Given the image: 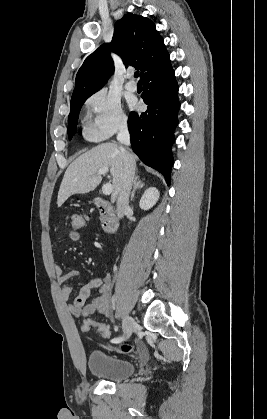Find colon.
Masks as SVG:
<instances>
[{
    "mask_svg": "<svg viewBox=\"0 0 267 419\" xmlns=\"http://www.w3.org/2000/svg\"><path fill=\"white\" fill-rule=\"evenodd\" d=\"M86 223V217L82 214H76L71 218V230L80 231ZM81 329L87 332L91 329H95L102 337H110V328L108 325L103 323H97L94 320L86 319L82 322ZM135 347L132 344H122L119 347V351L123 354H129L133 352Z\"/></svg>",
    "mask_w": 267,
    "mask_h": 419,
    "instance_id": "5ec220e1",
    "label": "colon"
}]
</instances>
